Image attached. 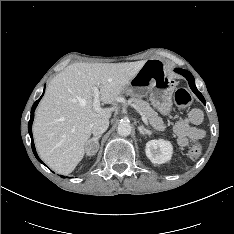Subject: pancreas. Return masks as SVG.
<instances>
[{
    "instance_id": "1",
    "label": "pancreas",
    "mask_w": 234,
    "mask_h": 234,
    "mask_svg": "<svg viewBox=\"0 0 234 234\" xmlns=\"http://www.w3.org/2000/svg\"><path fill=\"white\" fill-rule=\"evenodd\" d=\"M129 104L134 106L142 115H144L154 129L164 131L166 126L158 113L150 106L147 101L140 98H131Z\"/></svg>"
}]
</instances>
